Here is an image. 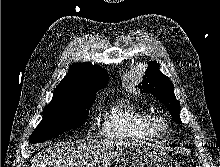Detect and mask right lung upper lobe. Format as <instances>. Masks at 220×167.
Segmentation results:
<instances>
[{"mask_svg":"<svg viewBox=\"0 0 220 167\" xmlns=\"http://www.w3.org/2000/svg\"><path fill=\"white\" fill-rule=\"evenodd\" d=\"M109 80L107 72L98 65L89 62L70 65L68 74L59 83L52 100L82 95H95L106 86Z\"/></svg>","mask_w":220,"mask_h":167,"instance_id":"right-lung-upper-lobe-1","label":"right lung upper lobe"}]
</instances>
